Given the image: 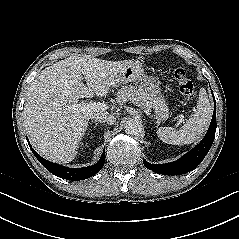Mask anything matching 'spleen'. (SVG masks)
I'll list each match as a JSON object with an SVG mask.
<instances>
[{"instance_id": "1", "label": "spleen", "mask_w": 239, "mask_h": 239, "mask_svg": "<svg viewBox=\"0 0 239 239\" xmlns=\"http://www.w3.org/2000/svg\"><path fill=\"white\" fill-rule=\"evenodd\" d=\"M212 111L207 93L202 88L199 92L197 109L194 114L186 120L181 129L176 130L172 127H160L157 130V135L167 144H191L198 140L207 130L212 117Z\"/></svg>"}]
</instances>
